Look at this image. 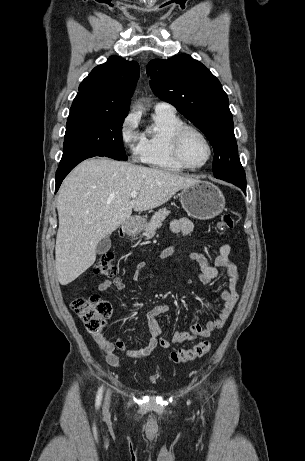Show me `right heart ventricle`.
Instances as JSON below:
<instances>
[{"label":"right heart ventricle","mask_w":305,"mask_h":461,"mask_svg":"<svg viewBox=\"0 0 305 461\" xmlns=\"http://www.w3.org/2000/svg\"><path fill=\"white\" fill-rule=\"evenodd\" d=\"M184 125L175 112L155 111L153 123L140 135L139 160L151 167L181 172L184 167L174 158L171 138Z\"/></svg>","instance_id":"obj_1"}]
</instances>
